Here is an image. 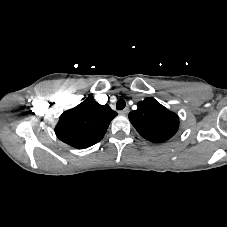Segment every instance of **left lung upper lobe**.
<instances>
[{"mask_svg":"<svg viewBox=\"0 0 227 227\" xmlns=\"http://www.w3.org/2000/svg\"><path fill=\"white\" fill-rule=\"evenodd\" d=\"M137 110L129 113V119L138 133L145 139L161 143L170 139L178 130V116L154 98L138 102Z\"/></svg>","mask_w":227,"mask_h":227,"instance_id":"left-lung-upper-lobe-1","label":"left lung upper lobe"}]
</instances>
